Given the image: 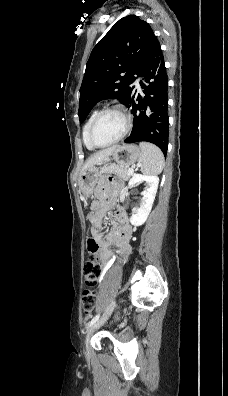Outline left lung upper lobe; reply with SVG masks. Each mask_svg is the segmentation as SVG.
<instances>
[{"instance_id": "obj_1", "label": "left lung upper lobe", "mask_w": 228, "mask_h": 396, "mask_svg": "<svg viewBox=\"0 0 228 396\" xmlns=\"http://www.w3.org/2000/svg\"><path fill=\"white\" fill-rule=\"evenodd\" d=\"M156 40L148 23L135 15L117 21L97 43L86 64L80 88L79 120L103 99L129 101L135 75L139 76Z\"/></svg>"}]
</instances>
